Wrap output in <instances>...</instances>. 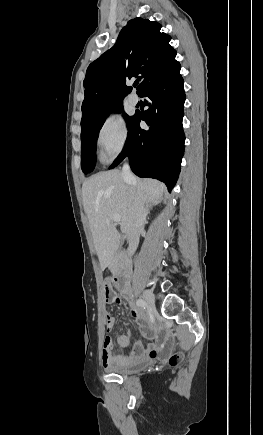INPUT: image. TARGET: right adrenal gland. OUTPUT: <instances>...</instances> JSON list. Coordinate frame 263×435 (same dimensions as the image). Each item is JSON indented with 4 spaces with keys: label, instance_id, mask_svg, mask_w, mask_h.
Here are the masks:
<instances>
[{
    "label": "right adrenal gland",
    "instance_id": "obj_1",
    "mask_svg": "<svg viewBox=\"0 0 263 435\" xmlns=\"http://www.w3.org/2000/svg\"><path fill=\"white\" fill-rule=\"evenodd\" d=\"M153 206V204L147 206V214L149 213L150 208Z\"/></svg>",
    "mask_w": 263,
    "mask_h": 435
}]
</instances>
